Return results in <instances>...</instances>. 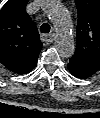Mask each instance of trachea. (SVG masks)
<instances>
[{"mask_svg": "<svg viewBox=\"0 0 100 118\" xmlns=\"http://www.w3.org/2000/svg\"><path fill=\"white\" fill-rule=\"evenodd\" d=\"M41 33H49L50 32V25L47 23H43L40 28Z\"/></svg>", "mask_w": 100, "mask_h": 118, "instance_id": "obj_1", "label": "trachea"}]
</instances>
